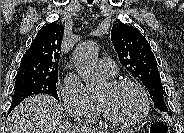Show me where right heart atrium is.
Returning <instances> with one entry per match:
<instances>
[{
    "label": "right heart atrium",
    "instance_id": "1",
    "mask_svg": "<svg viewBox=\"0 0 184 133\" xmlns=\"http://www.w3.org/2000/svg\"><path fill=\"white\" fill-rule=\"evenodd\" d=\"M59 92L64 109L72 119L91 122L97 117V99L76 75H67L60 84Z\"/></svg>",
    "mask_w": 184,
    "mask_h": 133
}]
</instances>
